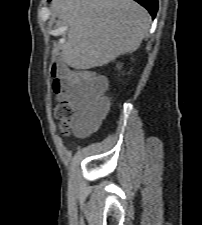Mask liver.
<instances>
[{
  "label": "liver",
  "instance_id": "obj_1",
  "mask_svg": "<svg viewBox=\"0 0 202 225\" xmlns=\"http://www.w3.org/2000/svg\"><path fill=\"white\" fill-rule=\"evenodd\" d=\"M54 14L68 27L61 56L75 69H90L136 51L151 17L133 0H53Z\"/></svg>",
  "mask_w": 202,
  "mask_h": 225
}]
</instances>
